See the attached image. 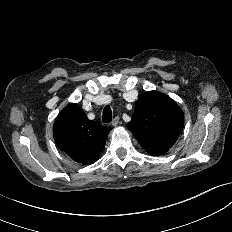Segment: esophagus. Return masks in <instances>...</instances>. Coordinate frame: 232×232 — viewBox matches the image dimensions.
Segmentation results:
<instances>
[{
  "label": "esophagus",
  "mask_w": 232,
  "mask_h": 232,
  "mask_svg": "<svg viewBox=\"0 0 232 232\" xmlns=\"http://www.w3.org/2000/svg\"><path fill=\"white\" fill-rule=\"evenodd\" d=\"M112 126H117L119 124V117H115L112 122H111Z\"/></svg>",
  "instance_id": "34e87169"
}]
</instances>
